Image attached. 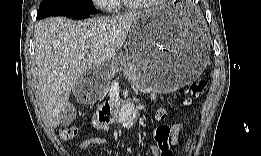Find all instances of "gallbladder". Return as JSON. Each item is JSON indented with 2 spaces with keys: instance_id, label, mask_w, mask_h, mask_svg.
Listing matches in <instances>:
<instances>
[{
  "instance_id": "bac80fb5",
  "label": "gallbladder",
  "mask_w": 261,
  "mask_h": 156,
  "mask_svg": "<svg viewBox=\"0 0 261 156\" xmlns=\"http://www.w3.org/2000/svg\"><path fill=\"white\" fill-rule=\"evenodd\" d=\"M70 104H72V103L69 101V102H65V103H63V105H61L62 107H64V110L61 113V124H63V125H69L76 116L75 110H74V108H76V107L74 105H70Z\"/></svg>"
}]
</instances>
